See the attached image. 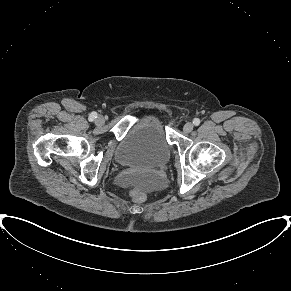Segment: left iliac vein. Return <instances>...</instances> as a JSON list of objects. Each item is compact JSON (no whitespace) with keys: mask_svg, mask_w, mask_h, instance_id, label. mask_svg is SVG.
I'll return each mask as SVG.
<instances>
[{"mask_svg":"<svg viewBox=\"0 0 291 291\" xmlns=\"http://www.w3.org/2000/svg\"><path fill=\"white\" fill-rule=\"evenodd\" d=\"M193 130V124L188 122L183 126V131L185 133H190Z\"/></svg>","mask_w":291,"mask_h":291,"instance_id":"obj_1","label":"left iliac vein"}]
</instances>
